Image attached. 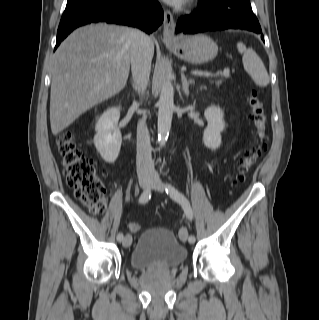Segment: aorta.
<instances>
[{
  "instance_id": "1",
  "label": "aorta",
  "mask_w": 319,
  "mask_h": 320,
  "mask_svg": "<svg viewBox=\"0 0 319 320\" xmlns=\"http://www.w3.org/2000/svg\"><path fill=\"white\" fill-rule=\"evenodd\" d=\"M174 111V88L170 78H167L161 88L158 100V142L164 146L171 129Z\"/></svg>"
}]
</instances>
